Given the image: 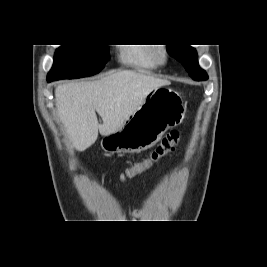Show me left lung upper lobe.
<instances>
[{"label":"left lung upper lobe","mask_w":267,"mask_h":267,"mask_svg":"<svg viewBox=\"0 0 267 267\" xmlns=\"http://www.w3.org/2000/svg\"><path fill=\"white\" fill-rule=\"evenodd\" d=\"M168 52L171 56L180 61L189 75L196 81H204L208 79L207 73L199 67L198 56L194 48L189 45H167Z\"/></svg>","instance_id":"1"}]
</instances>
